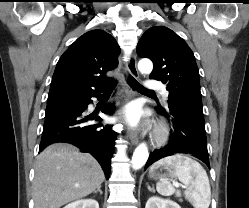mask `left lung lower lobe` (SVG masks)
I'll list each match as a JSON object with an SVG mask.
<instances>
[{
    "mask_svg": "<svg viewBox=\"0 0 249 208\" xmlns=\"http://www.w3.org/2000/svg\"><path fill=\"white\" fill-rule=\"evenodd\" d=\"M158 111L171 121L173 128L169 143L150 153L145 169L155 161L177 153L192 154L210 167L202 109L171 102L166 109L158 106Z\"/></svg>",
    "mask_w": 249,
    "mask_h": 208,
    "instance_id": "obj_1",
    "label": "left lung lower lobe"
}]
</instances>
